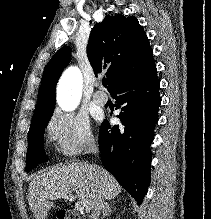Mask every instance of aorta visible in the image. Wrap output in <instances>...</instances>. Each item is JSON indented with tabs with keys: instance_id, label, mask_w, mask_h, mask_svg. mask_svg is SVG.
Masks as SVG:
<instances>
[{
	"instance_id": "obj_1",
	"label": "aorta",
	"mask_w": 211,
	"mask_h": 219,
	"mask_svg": "<svg viewBox=\"0 0 211 219\" xmlns=\"http://www.w3.org/2000/svg\"><path fill=\"white\" fill-rule=\"evenodd\" d=\"M82 74L77 67H69L62 75L57 89V102L62 110H74L81 98Z\"/></svg>"
}]
</instances>
